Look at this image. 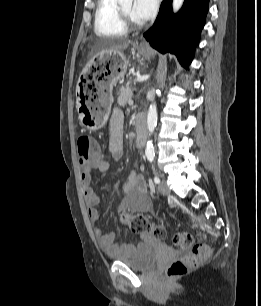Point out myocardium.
Segmentation results:
<instances>
[{"mask_svg":"<svg viewBox=\"0 0 261 306\" xmlns=\"http://www.w3.org/2000/svg\"><path fill=\"white\" fill-rule=\"evenodd\" d=\"M118 9H119V13L121 16V19L123 21V23L125 24V26L127 27V29H139L143 26L142 22H137L135 20H133L122 8L121 5H118Z\"/></svg>","mask_w":261,"mask_h":306,"instance_id":"myocardium-1","label":"myocardium"}]
</instances>
